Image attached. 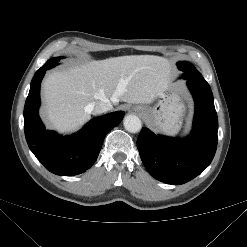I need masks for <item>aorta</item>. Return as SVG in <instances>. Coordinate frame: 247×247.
<instances>
[{
	"mask_svg": "<svg viewBox=\"0 0 247 247\" xmlns=\"http://www.w3.org/2000/svg\"><path fill=\"white\" fill-rule=\"evenodd\" d=\"M123 124L126 131L130 133H138L142 128L141 120L136 115H127Z\"/></svg>",
	"mask_w": 247,
	"mask_h": 247,
	"instance_id": "aorta-1",
	"label": "aorta"
}]
</instances>
